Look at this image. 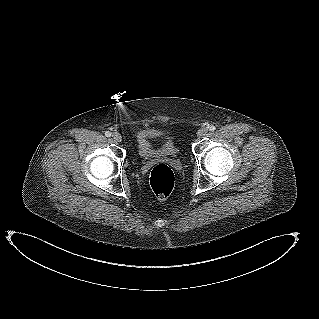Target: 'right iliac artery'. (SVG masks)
I'll return each mask as SVG.
<instances>
[{"label":"right iliac artery","instance_id":"82829eb1","mask_svg":"<svg viewBox=\"0 0 319 319\" xmlns=\"http://www.w3.org/2000/svg\"><path fill=\"white\" fill-rule=\"evenodd\" d=\"M111 134H112V133H111V132H109V131H106V132H105V136H106V137H110V136H111Z\"/></svg>","mask_w":319,"mask_h":319}]
</instances>
